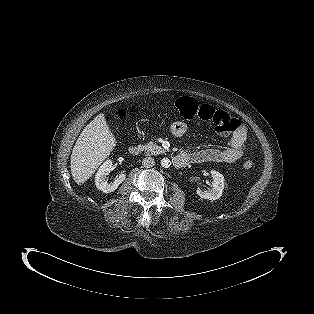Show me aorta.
<instances>
[{
    "mask_svg": "<svg viewBox=\"0 0 314 314\" xmlns=\"http://www.w3.org/2000/svg\"><path fill=\"white\" fill-rule=\"evenodd\" d=\"M170 165H171V162H170V160L168 158H163L161 160V166L162 167L168 168V167H170Z\"/></svg>",
    "mask_w": 314,
    "mask_h": 314,
    "instance_id": "aorta-1",
    "label": "aorta"
}]
</instances>
